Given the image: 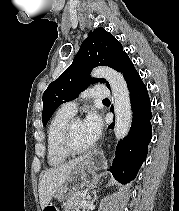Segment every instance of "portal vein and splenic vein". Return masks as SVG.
Listing matches in <instances>:
<instances>
[{"label":"portal vein and splenic vein","mask_w":179,"mask_h":211,"mask_svg":"<svg viewBox=\"0 0 179 211\" xmlns=\"http://www.w3.org/2000/svg\"><path fill=\"white\" fill-rule=\"evenodd\" d=\"M80 194L81 195H86L87 194V191H82Z\"/></svg>","instance_id":"1"}]
</instances>
